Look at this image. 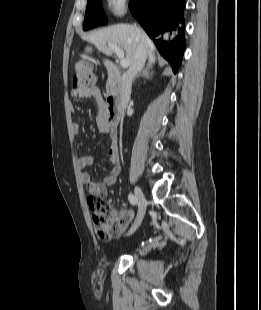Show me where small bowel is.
<instances>
[{
    "label": "small bowel",
    "mask_w": 261,
    "mask_h": 310,
    "mask_svg": "<svg viewBox=\"0 0 261 310\" xmlns=\"http://www.w3.org/2000/svg\"><path fill=\"white\" fill-rule=\"evenodd\" d=\"M73 96L75 98H93L99 108V116L97 119V125L100 132L109 134L110 145L108 148V156L111 162V168L107 171L102 182H96L91 179V176L88 172L83 171L81 173V181L85 185L87 191L93 195H99L102 197L107 196V186H111L116 182V179L121 171L120 160L118 155V148L116 142L115 132L105 124L101 117V112L104 107V101L102 98L101 90L98 87H92L80 92H74ZM79 131L78 124H73V132L77 134ZM95 161V156L85 155L81 156L78 160V165L82 170L90 167ZM122 213L121 215H123ZM131 214V213H130ZM113 216H117L116 212L112 213Z\"/></svg>",
    "instance_id": "1"
}]
</instances>
